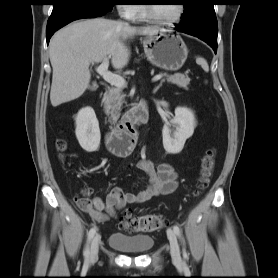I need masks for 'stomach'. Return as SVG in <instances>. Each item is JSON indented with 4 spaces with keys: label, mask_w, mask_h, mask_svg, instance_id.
Instances as JSON below:
<instances>
[{
    "label": "stomach",
    "mask_w": 278,
    "mask_h": 278,
    "mask_svg": "<svg viewBox=\"0 0 278 278\" xmlns=\"http://www.w3.org/2000/svg\"><path fill=\"white\" fill-rule=\"evenodd\" d=\"M143 47L152 65L170 71L179 70L188 55L182 38L164 30L156 35L146 36L143 39Z\"/></svg>",
    "instance_id": "stomach-1"
}]
</instances>
